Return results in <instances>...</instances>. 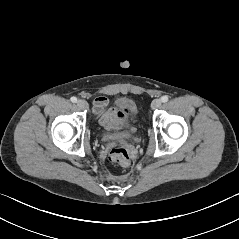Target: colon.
<instances>
[{
	"instance_id": "obj_1",
	"label": "colon",
	"mask_w": 239,
	"mask_h": 239,
	"mask_svg": "<svg viewBox=\"0 0 239 239\" xmlns=\"http://www.w3.org/2000/svg\"><path fill=\"white\" fill-rule=\"evenodd\" d=\"M109 160L125 167L130 163V153L125 147H116L110 151Z\"/></svg>"
}]
</instances>
